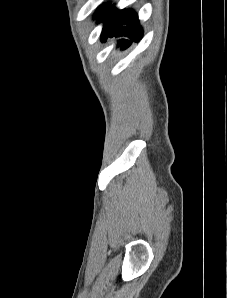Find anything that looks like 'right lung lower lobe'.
I'll use <instances>...</instances> for the list:
<instances>
[{"mask_svg":"<svg viewBox=\"0 0 227 298\" xmlns=\"http://www.w3.org/2000/svg\"><path fill=\"white\" fill-rule=\"evenodd\" d=\"M97 18L98 22H104L102 41H106L108 37H125L133 41H139L142 38L138 16L133 10H116L109 7ZM129 40L120 41L123 48L129 46Z\"/></svg>","mask_w":227,"mask_h":298,"instance_id":"right-lung-lower-lobe-1","label":"right lung lower lobe"}]
</instances>
